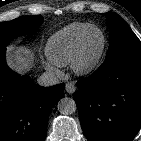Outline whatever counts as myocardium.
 <instances>
[{"label":"myocardium","mask_w":141,"mask_h":141,"mask_svg":"<svg viewBox=\"0 0 141 141\" xmlns=\"http://www.w3.org/2000/svg\"><path fill=\"white\" fill-rule=\"evenodd\" d=\"M93 31H98L101 36H102V45L98 53L94 58L91 60H86L85 58V47H86V42L88 39V36L90 35L91 32ZM107 47V38L105 33L98 27L96 26H91L88 28L84 34L82 35L76 53L74 55L73 61L71 63L72 69L74 70L75 73L79 75H87L92 72H94L98 66L100 65L103 56L105 54Z\"/></svg>","instance_id":"obj_1"}]
</instances>
